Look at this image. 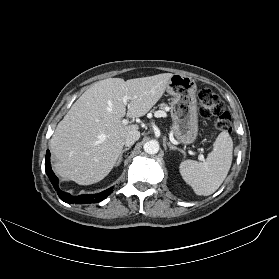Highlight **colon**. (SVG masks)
Segmentation results:
<instances>
[{
    "mask_svg": "<svg viewBox=\"0 0 279 279\" xmlns=\"http://www.w3.org/2000/svg\"><path fill=\"white\" fill-rule=\"evenodd\" d=\"M201 115L206 119H214L218 130L229 131L232 126L230 114L224 109L221 99L212 90L204 88L198 93Z\"/></svg>",
    "mask_w": 279,
    "mask_h": 279,
    "instance_id": "5ec220e1",
    "label": "colon"
}]
</instances>
